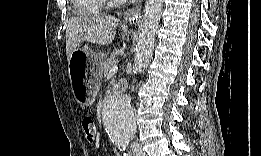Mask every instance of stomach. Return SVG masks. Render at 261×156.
Returning a JSON list of instances; mask_svg holds the SVG:
<instances>
[{
    "mask_svg": "<svg viewBox=\"0 0 261 156\" xmlns=\"http://www.w3.org/2000/svg\"><path fill=\"white\" fill-rule=\"evenodd\" d=\"M84 65L79 66V60ZM105 55L79 47L72 52L69 61V74L76 101L82 106L94 103L102 78Z\"/></svg>",
    "mask_w": 261,
    "mask_h": 156,
    "instance_id": "stomach-1",
    "label": "stomach"
}]
</instances>
